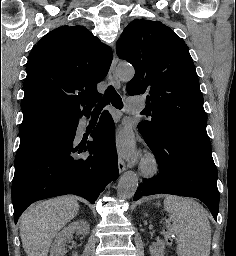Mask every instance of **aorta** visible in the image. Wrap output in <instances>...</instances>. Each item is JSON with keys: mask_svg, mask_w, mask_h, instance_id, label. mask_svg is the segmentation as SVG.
Wrapping results in <instances>:
<instances>
[{"mask_svg": "<svg viewBox=\"0 0 236 256\" xmlns=\"http://www.w3.org/2000/svg\"><path fill=\"white\" fill-rule=\"evenodd\" d=\"M117 75L122 81H130L134 76V69L131 65L119 64ZM138 187V177L133 171L125 172L117 186V195L121 199H129L134 196Z\"/></svg>", "mask_w": 236, "mask_h": 256, "instance_id": "aorta-1", "label": "aorta"}]
</instances>
